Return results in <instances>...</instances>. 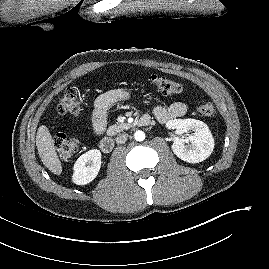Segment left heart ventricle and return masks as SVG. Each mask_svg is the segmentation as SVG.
I'll list each match as a JSON object with an SVG mask.
<instances>
[{
    "label": "left heart ventricle",
    "mask_w": 269,
    "mask_h": 269,
    "mask_svg": "<svg viewBox=\"0 0 269 269\" xmlns=\"http://www.w3.org/2000/svg\"><path fill=\"white\" fill-rule=\"evenodd\" d=\"M41 1H45V2L52 1V2H55L57 0H41Z\"/></svg>",
    "instance_id": "left-heart-ventricle-1"
}]
</instances>
